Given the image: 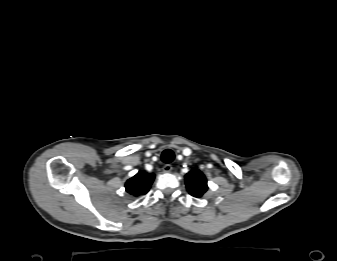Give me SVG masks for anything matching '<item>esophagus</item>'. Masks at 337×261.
<instances>
[{
    "instance_id": "34e87169",
    "label": "esophagus",
    "mask_w": 337,
    "mask_h": 261,
    "mask_svg": "<svg viewBox=\"0 0 337 261\" xmlns=\"http://www.w3.org/2000/svg\"><path fill=\"white\" fill-rule=\"evenodd\" d=\"M163 172H165V173H169V172H171L172 171V169H173V167H172V165L171 164H165L164 166H163Z\"/></svg>"
}]
</instances>
